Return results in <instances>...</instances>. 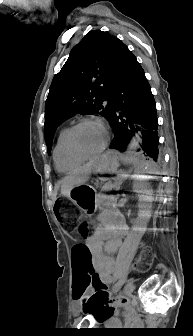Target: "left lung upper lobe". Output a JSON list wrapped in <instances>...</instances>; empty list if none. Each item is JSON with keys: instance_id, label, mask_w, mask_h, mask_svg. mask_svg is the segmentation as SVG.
I'll return each instance as SVG.
<instances>
[{"instance_id": "obj_1", "label": "left lung upper lobe", "mask_w": 193, "mask_h": 336, "mask_svg": "<svg viewBox=\"0 0 193 336\" xmlns=\"http://www.w3.org/2000/svg\"><path fill=\"white\" fill-rule=\"evenodd\" d=\"M127 46L108 32L93 30L71 51L52 81L45 104L48 154L54 133L76 114H99L109 120L111 93ZM107 100L108 104L103 105Z\"/></svg>"}]
</instances>
